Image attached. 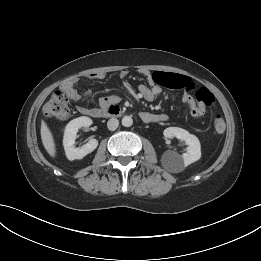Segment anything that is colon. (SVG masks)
I'll return each instance as SVG.
<instances>
[{"label": "colon", "instance_id": "1", "mask_svg": "<svg viewBox=\"0 0 261 261\" xmlns=\"http://www.w3.org/2000/svg\"><path fill=\"white\" fill-rule=\"evenodd\" d=\"M196 100L199 107L203 109L215 103L213 94L205 88L197 91ZM68 101L69 96L65 90H56L43 107L44 116L57 120H66L70 116ZM214 128L218 133H222L225 130V121L222 116L217 115L215 117Z\"/></svg>", "mask_w": 261, "mask_h": 261}]
</instances>
